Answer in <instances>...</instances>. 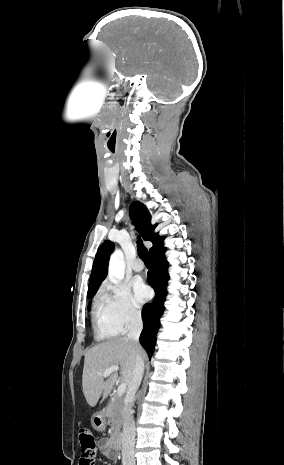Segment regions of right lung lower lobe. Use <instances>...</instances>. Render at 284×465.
<instances>
[{"label":"right lung lower lobe","mask_w":284,"mask_h":465,"mask_svg":"<svg viewBox=\"0 0 284 465\" xmlns=\"http://www.w3.org/2000/svg\"><path fill=\"white\" fill-rule=\"evenodd\" d=\"M165 251L166 248L161 246L149 254L151 268L148 271V283L155 291V298L150 304H145L142 309L144 327L140 335V343L149 358L154 352L156 333L160 327L159 319L165 310L166 285L169 279L167 274L169 264L164 256Z\"/></svg>","instance_id":"obj_1"}]
</instances>
